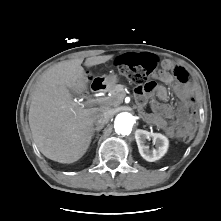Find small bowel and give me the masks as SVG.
Returning <instances> with one entry per match:
<instances>
[{"mask_svg": "<svg viewBox=\"0 0 221 221\" xmlns=\"http://www.w3.org/2000/svg\"><path fill=\"white\" fill-rule=\"evenodd\" d=\"M143 53H125L118 58V61H133L138 55ZM162 70L159 79L162 82H173L174 88L179 96L176 107L165 104L168 95L162 84L156 85L152 90L146 91L138 88L136 95L140 103L151 101V113H147L148 119L156 126L162 128L168 136L172 138L182 137L185 128L192 121L191 100L189 97L191 86L189 84L186 69L175 64L169 59L161 62Z\"/></svg>", "mask_w": 221, "mask_h": 221, "instance_id": "1", "label": "small bowel"}]
</instances>
